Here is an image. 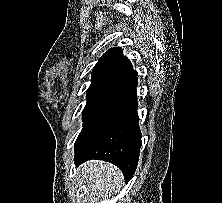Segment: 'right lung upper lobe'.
I'll use <instances>...</instances> for the list:
<instances>
[{
  "mask_svg": "<svg viewBox=\"0 0 222 203\" xmlns=\"http://www.w3.org/2000/svg\"><path fill=\"white\" fill-rule=\"evenodd\" d=\"M132 64L122 54L121 47L109 49L97 62L92 71V80L88 90L118 93L137 78Z\"/></svg>",
  "mask_w": 222,
  "mask_h": 203,
  "instance_id": "right-lung-upper-lobe-1",
  "label": "right lung upper lobe"
}]
</instances>
